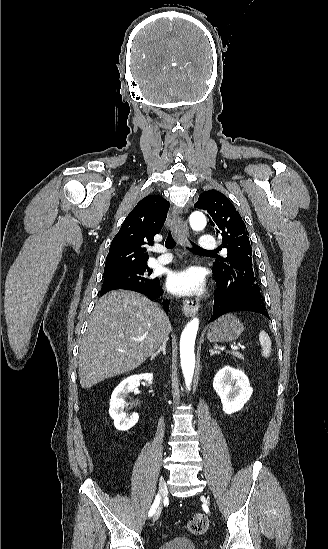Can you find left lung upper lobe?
Returning a JSON list of instances; mask_svg holds the SVG:
<instances>
[{
  "instance_id": "1",
  "label": "left lung upper lobe",
  "mask_w": 328,
  "mask_h": 549,
  "mask_svg": "<svg viewBox=\"0 0 328 549\" xmlns=\"http://www.w3.org/2000/svg\"><path fill=\"white\" fill-rule=\"evenodd\" d=\"M194 207L208 213L209 222L217 236H222V247L227 249V257L218 258L213 265L214 276L225 285L232 284L236 288L251 290L261 299L252 268L249 233L236 208L224 194L216 190L202 193Z\"/></svg>"
}]
</instances>
